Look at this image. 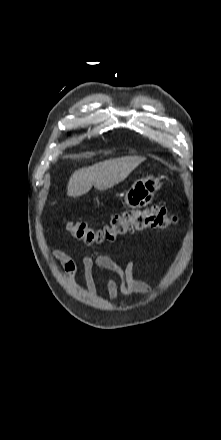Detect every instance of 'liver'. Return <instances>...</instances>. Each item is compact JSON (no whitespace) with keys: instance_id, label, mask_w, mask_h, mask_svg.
Instances as JSON below:
<instances>
[{"instance_id":"liver-1","label":"liver","mask_w":221,"mask_h":440,"mask_svg":"<svg viewBox=\"0 0 221 440\" xmlns=\"http://www.w3.org/2000/svg\"><path fill=\"white\" fill-rule=\"evenodd\" d=\"M144 157L130 156L105 160L75 171L67 185V195L78 197L90 191L107 190L122 182L143 161Z\"/></svg>"}]
</instances>
